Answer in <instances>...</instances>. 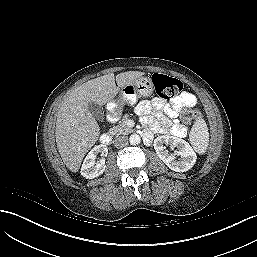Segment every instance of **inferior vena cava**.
I'll list each match as a JSON object with an SVG mask.
<instances>
[{"label":"inferior vena cava","mask_w":257,"mask_h":257,"mask_svg":"<svg viewBox=\"0 0 257 257\" xmlns=\"http://www.w3.org/2000/svg\"><path fill=\"white\" fill-rule=\"evenodd\" d=\"M127 144H128V137L127 136H120V137H117L114 140V146L117 147V148L124 147Z\"/></svg>","instance_id":"1"}]
</instances>
